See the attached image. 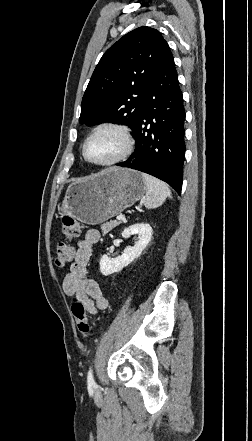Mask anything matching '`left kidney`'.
I'll return each instance as SVG.
<instances>
[{
    "instance_id": "1",
    "label": "left kidney",
    "mask_w": 252,
    "mask_h": 441,
    "mask_svg": "<svg viewBox=\"0 0 252 441\" xmlns=\"http://www.w3.org/2000/svg\"><path fill=\"white\" fill-rule=\"evenodd\" d=\"M152 227L147 223L134 224L126 228L122 232L123 238H129L131 235L137 234V242L134 246L125 248L121 256L114 259L107 255H103L100 260V271L103 275L120 272L124 267L128 266L134 259L140 256L146 248L152 237Z\"/></svg>"
}]
</instances>
